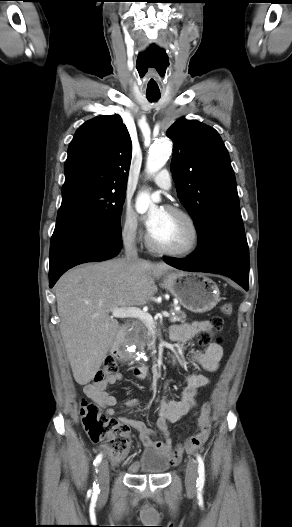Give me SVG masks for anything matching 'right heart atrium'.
Returning <instances> with one entry per match:
<instances>
[{"mask_svg":"<svg viewBox=\"0 0 292 527\" xmlns=\"http://www.w3.org/2000/svg\"><path fill=\"white\" fill-rule=\"evenodd\" d=\"M140 234L139 221L134 210L126 206L122 213L121 235L126 242H135Z\"/></svg>","mask_w":292,"mask_h":527,"instance_id":"d8ad5b80","label":"right heart atrium"}]
</instances>
